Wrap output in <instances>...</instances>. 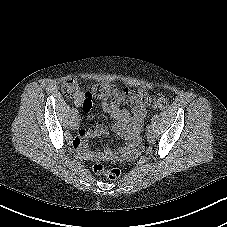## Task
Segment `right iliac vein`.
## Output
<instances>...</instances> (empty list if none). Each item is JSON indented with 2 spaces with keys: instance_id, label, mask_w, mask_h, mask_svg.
Segmentation results:
<instances>
[{
  "instance_id": "63e3f726",
  "label": "right iliac vein",
  "mask_w": 227,
  "mask_h": 227,
  "mask_svg": "<svg viewBox=\"0 0 227 227\" xmlns=\"http://www.w3.org/2000/svg\"><path fill=\"white\" fill-rule=\"evenodd\" d=\"M78 127H79V120H75L74 122H72L71 124L72 129H77Z\"/></svg>"
}]
</instances>
